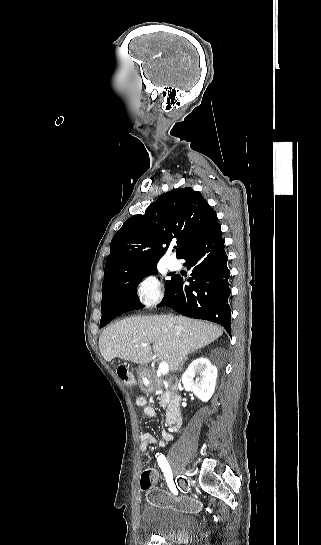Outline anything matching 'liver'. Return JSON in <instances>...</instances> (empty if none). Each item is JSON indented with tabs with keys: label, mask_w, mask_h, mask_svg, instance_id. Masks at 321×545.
Masks as SVG:
<instances>
[{
	"label": "liver",
	"mask_w": 321,
	"mask_h": 545,
	"mask_svg": "<svg viewBox=\"0 0 321 545\" xmlns=\"http://www.w3.org/2000/svg\"><path fill=\"white\" fill-rule=\"evenodd\" d=\"M222 333L218 325L187 317H129L102 331L99 349L108 363L119 357L147 367L153 357H157L159 361H166L171 371H178L186 355L210 345ZM143 343H147V347H142Z\"/></svg>",
	"instance_id": "liver-1"
}]
</instances>
